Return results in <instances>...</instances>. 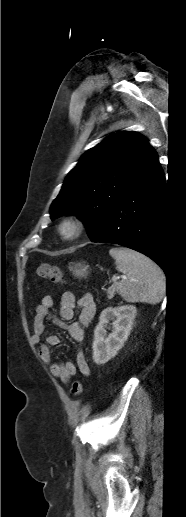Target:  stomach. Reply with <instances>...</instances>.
I'll list each match as a JSON object with an SVG mask.
<instances>
[{"label":"stomach","instance_id":"1","mask_svg":"<svg viewBox=\"0 0 186 517\" xmlns=\"http://www.w3.org/2000/svg\"><path fill=\"white\" fill-rule=\"evenodd\" d=\"M75 277L83 278L89 274V266L83 263H74L69 267Z\"/></svg>","mask_w":186,"mask_h":517}]
</instances>
